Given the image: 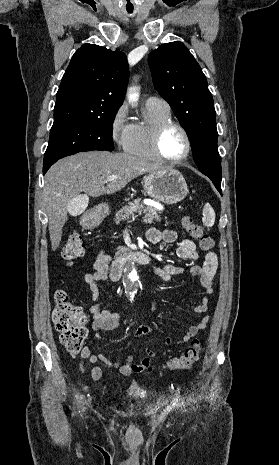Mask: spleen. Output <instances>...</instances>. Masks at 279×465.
I'll return each instance as SVG.
<instances>
[{
  "label": "spleen",
  "mask_w": 279,
  "mask_h": 465,
  "mask_svg": "<svg viewBox=\"0 0 279 465\" xmlns=\"http://www.w3.org/2000/svg\"><path fill=\"white\" fill-rule=\"evenodd\" d=\"M203 224L207 227H211L214 225L215 222V212L210 204H205L203 209V217H202Z\"/></svg>",
  "instance_id": "1"
}]
</instances>
